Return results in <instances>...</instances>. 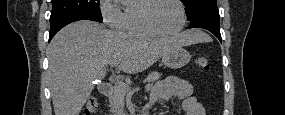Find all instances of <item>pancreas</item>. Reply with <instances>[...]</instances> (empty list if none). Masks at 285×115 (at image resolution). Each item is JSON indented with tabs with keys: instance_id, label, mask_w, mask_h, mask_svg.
<instances>
[{
	"instance_id": "obj_1",
	"label": "pancreas",
	"mask_w": 285,
	"mask_h": 115,
	"mask_svg": "<svg viewBox=\"0 0 285 115\" xmlns=\"http://www.w3.org/2000/svg\"><path fill=\"white\" fill-rule=\"evenodd\" d=\"M160 78H161V73L151 72L147 76L145 81L148 82L150 86H152V84L158 81ZM129 90H130L129 84L123 82H117L115 84L114 90L112 91L109 99L111 112L114 115H122L125 105V96L129 92Z\"/></svg>"
}]
</instances>
